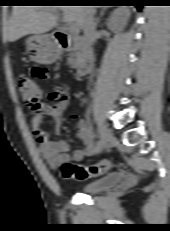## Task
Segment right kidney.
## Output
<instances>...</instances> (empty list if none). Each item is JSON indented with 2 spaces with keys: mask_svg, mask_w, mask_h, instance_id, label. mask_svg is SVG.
Masks as SVG:
<instances>
[{
  "mask_svg": "<svg viewBox=\"0 0 170 231\" xmlns=\"http://www.w3.org/2000/svg\"><path fill=\"white\" fill-rule=\"evenodd\" d=\"M130 12L127 8H119L115 10L107 21V27L112 32H121L127 24Z\"/></svg>",
  "mask_w": 170,
  "mask_h": 231,
  "instance_id": "obj_1",
  "label": "right kidney"
}]
</instances>
